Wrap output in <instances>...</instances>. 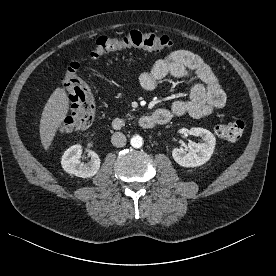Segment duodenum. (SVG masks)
Instances as JSON below:
<instances>
[{"instance_id":"duodenum-1","label":"duodenum","mask_w":276,"mask_h":276,"mask_svg":"<svg viewBox=\"0 0 276 276\" xmlns=\"http://www.w3.org/2000/svg\"><path fill=\"white\" fill-rule=\"evenodd\" d=\"M170 120L166 111L157 110L152 115H143L139 118V125L143 129H152L155 126L166 124ZM127 121L123 117H117L113 120L112 126L115 130L125 128Z\"/></svg>"}]
</instances>
